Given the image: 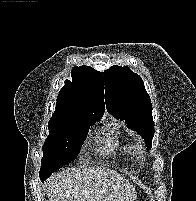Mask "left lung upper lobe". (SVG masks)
<instances>
[{
  "mask_svg": "<svg viewBox=\"0 0 196 201\" xmlns=\"http://www.w3.org/2000/svg\"><path fill=\"white\" fill-rule=\"evenodd\" d=\"M104 78L108 111L142 135L150 149L154 136L152 105L141 77L127 66L115 65L104 72Z\"/></svg>",
  "mask_w": 196,
  "mask_h": 201,
  "instance_id": "obj_1",
  "label": "left lung upper lobe"
}]
</instances>
